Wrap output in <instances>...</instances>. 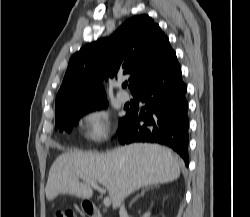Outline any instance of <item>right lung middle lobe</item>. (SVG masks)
<instances>
[{"label": "right lung middle lobe", "mask_w": 250, "mask_h": 217, "mask_svg": "<svg viewBox=\"0 0 250 217\" xmlns=\"http://www.w3.org/2000/svg\"><path fill=\"white\" fill-rule=\"evenodd\" d=\"M105 105V102L97 103L92 106H88L85 108L77 109L74 111H71L67 114H64L58 118H56V123H55V130L59 129V131H66V132H71L73 127L77 125L78 120L82 115L87 113L89 110L96 109V108H102ZM126 119V116L120 119V127L123 125L124 121Z\"/></svg>", "instance_id": "1"}]
</instances>
